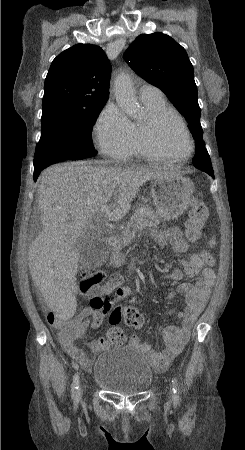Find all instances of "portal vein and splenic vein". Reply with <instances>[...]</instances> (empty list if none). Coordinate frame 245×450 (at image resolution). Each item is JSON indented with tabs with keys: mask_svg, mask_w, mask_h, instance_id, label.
<instances>
[{
	"mask_svg": "<svg viewBox=\"0 0 245 450\" xmlns=\"http://www.w3.org/2000/svg\"><path fill=\"white\" fill-rule=\"evenodd\" d=\"M108 213H109V208L107 206H104V207L101 208L100 214L102 216H106Z\"/></svg>",
	"mask_w": 245,
	"mask_h": 450,
	"instance_id": "18ae733b",
	"label": "portal vein and splenic vein"
}]
</instances>
